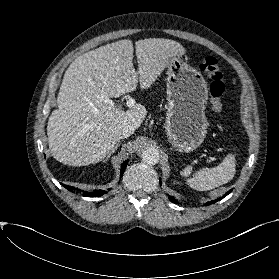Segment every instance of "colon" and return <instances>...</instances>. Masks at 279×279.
Instances as JSON below:
<instances>
[{
    "label": "colon",
    "instance_id": "5ec220e1",
    "mask_svg": "<svg viewBox=\"0 0 279 279\" xmlns=\"http://www.w3.org/2000/svg\"><path fill=\"white\" fill-rule=\"evenodd\" d=\"M200 70L210 81V107L213 112L220 113L223 109L225 84L219 62L215 57H207L201 63Z\"/></svg>",
    "mask_w": 279,
    "mask_h": 279
}]
</instances>
